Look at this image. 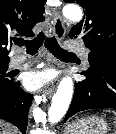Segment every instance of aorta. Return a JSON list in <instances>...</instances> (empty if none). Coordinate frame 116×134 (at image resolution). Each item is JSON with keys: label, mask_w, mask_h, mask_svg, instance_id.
<instances>
[{"label": "aorta", "mask_w": 116, "mask_h": 134, "mask_svg": "<svg viewBox=\"0 0 116 134\" xmlns=\"http://www.w3.org/2000/svg\"><path fill=\"white\" fill-rule=\"evenodd\" d=\"M63 15L70 22H78L82 19V11L79 6L70 4L63 8ZM73 95V81L71 77H64L52 98L51 106L48 110V120L50 123H57L66 114Z\"/></svg>", "instance_id": "aorta-1"}]
</instances>
